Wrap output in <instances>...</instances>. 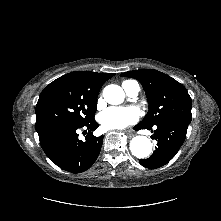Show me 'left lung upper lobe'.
<instances>
[{"label": "left lung upper lobe", "instance_id": "1", "mask_svg": "<svg viewBox=\"0 0 221 221\" xmlns=\"http://www.w3.org/2000/svg\"><path fill=\"white\" fill-rule=\"evenodd\" d=\"M121 76L137 79L143 86L149 111L139 123L154 127L166 122L190 124L192 101L186 88L170 76L152 69H139Z\"/></svg>", "mask_w": 221, "mask_h": 221}]
</instances>
